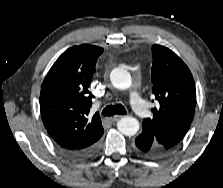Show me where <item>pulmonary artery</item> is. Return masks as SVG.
Masks as SVG:
<instances>
[{
  "label": "pulmonary artery",
  "instance_id": "pulmonary-artery-1",
  "mask_svg": "<svg viewBox=\"0 0 223 188\" xmlns=\"http://www.w3.org/2000/svg\"><path fill=\"white\" fill-rule=\"evenodd\" d=\"M130 103L133 108V110L140 116V117H145L148 114V109L146 107V104L140 97V95L134 91L131 94L130 97Z\"/></svg>",
  "mask_w": 223,
  "mask_h": 188
}]
</instances>
